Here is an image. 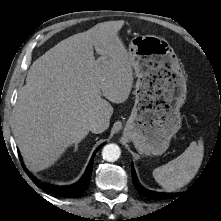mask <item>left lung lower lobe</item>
<instances>
[{"instance_id": "obj_1", "label": "left lung lower lobe", "mask_w": 221, "mask_h": 221, "mask_svg": "<svg viewBox=\"0 0 221 221\" xmlns=\"http://www.w3.org/2000/svg\"><path fill=\"white\" fill-rule=\"evenodd\" d=\"M132 179H133V183L137 191L142 196L147 197L152 200H164V199L174 198L179 195H182V193H160V192H154V191L146 189L138 182L133 166H132Z\"/></svg>"}]
</instances>
